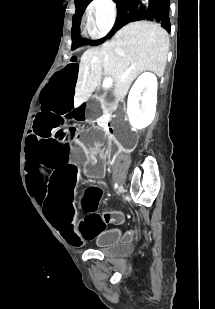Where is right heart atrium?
I'll return each mask as SVG.
<instances>
[{
	"mask_svg": "<svg viewBox=\"0 0 215 309\" xmlns=\"http://www.w3.org/2000/svg\"><path fill=\"white\" fill-rule=\"evenodd\" d=\"M113 0H92L94 9L87 13V20L95 36H103L113 29L115 11Z\"/></svg>",
	"mask_w": 215,
	"mask_h": 309,
	"instance_id": "1",
	"label": "right heart atrium"
}]
</instances>
